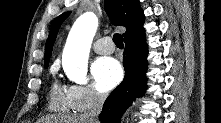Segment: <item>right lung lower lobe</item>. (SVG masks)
<instances>
[{
    "label": "right lung lower lobe",
    "mask_w": 221,
    "mask_h": 123,
    "mask_svg": "<svg viewBox=\"0 0 221 123\" xmlns=\"http://www.w3.org/2000/svg\"><path fill=\"white\" fill-rule=\"evenodd\" d=\"M125 77L108 96L99 118L102 123H118L127 107L145 91L148 47L145 34L124 40Z\"/></svg>",
    "instance_id": "obj_1"
}]
</instances>
